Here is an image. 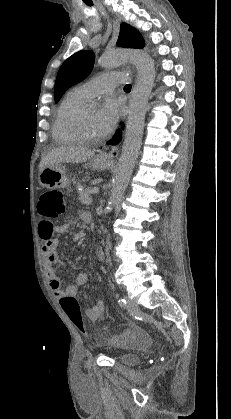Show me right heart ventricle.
<instances>
[{
  "label": "right heart ventricle",
  "instance_id": "e07e8e85",
  "mask_svg": "<svg viewBox=\"0 0 231 419\" xmlns=\"http://www.w3.org/2000/svg\"><path fill=\"white\" fill-rule=\"evenodd\" d=\"M90 99L78 88L70 91L56 110L52 136L57 143L74 145L82 142L73 129L72 123L77 113L86 107Z\"/></svg>",
  "mask_w": 231,
  "mask_h": 419
}]
</instances>
